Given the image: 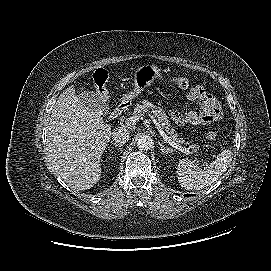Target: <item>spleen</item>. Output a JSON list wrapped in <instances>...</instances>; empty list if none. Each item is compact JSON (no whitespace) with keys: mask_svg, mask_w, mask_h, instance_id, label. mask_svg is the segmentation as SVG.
I'll use <instances>...</instances> for the list:
<instances>
[{"mask_svg":"<svg viewBox=\"0 0 271 271\" xmlns=\"http://www.w3.org/2000/svg\"><path fill=\"white\" fill-rule=\"evenodd\" d=\"M232 161L230 150L222 151L214 161L201 168L189 159L180 160L176 175L180 185L186 190H200L216 182L228 169Z\"/></svg>","mask_w":271,"mask_h":271,"instance_id":"spleen-1","label":"spleen"}]
</instances>
